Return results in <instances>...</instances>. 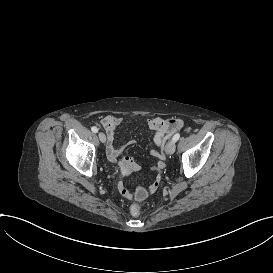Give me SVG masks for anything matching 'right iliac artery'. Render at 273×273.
Instances as JSON below:
<instances>
[{
    "label": "right iliac artery",
    "instance_id": "82829eb1",
    "mask_svg": "<svg viewBox=\"0 0 273 273\" xmlns=\"http://www.w3.org/2000/svg\"><path fill=\"white\" fill-rule=\"evenodd\" d=\"M91 130H92V132H94V133H97V132H98V128L95 127V126H93V127L91 128Z\"/></svg>",
    "mask_w": 273,
    "mask_h": 273
}]
</instances>
